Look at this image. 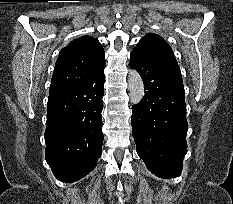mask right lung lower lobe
Returning <instances> with one entry per match:
<instances>
[{
    "label": "right lung lower lobe",
    "instance_id": "right-lung-lower-lobe-1",
    "mask_svg": "<svg viewBox=\"0 0 233 204\" xmlns=\"http://www.w3.org/2000/svg\"><path fill=\"white\" fill-rule=\"evenodd\" d=\"M104 69L85 84L49 95L46 161L55 177L75 182L90 173L102 153Z\"/></svg>",
    "mask_w": 233,
    "mask_h": 204
}]
</instances>
